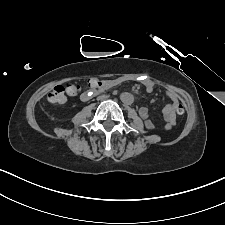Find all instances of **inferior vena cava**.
Wrapping results in <instances>:
<instances>
[{
	"instance_id": "1",
	"label": "inferior vena cava",
	"mask_w": 225,
	"mask_h": 225,
	"mask_svg": "<svg viewBox=\"0 0 225 225\" xmlns=\"http://www.w3.org/2000/svg\"><path fill=\"white\" fill-rule=\"evenodd\" d=\"M106 98H108L107 95H102V96L99 97V99H106Z\"/></svg>"
}]
</instances>
